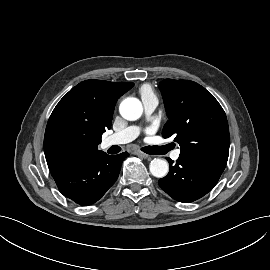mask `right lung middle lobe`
<instances>
[{
	"label": "right lung middle lobe",
	"instance_id": "obj_1",
	"mask_svg": "<svg viewBox=\"0 0 270 270\" xmlns=\"http://www.w3.org/2000/svg\"><path fill=\"white\" fill-rule=\"evenodd\" d=\"M65 143L68 146H73L78 142V138L75 135H68L65 137Z\"/></svg>",
	"mask_w": 270,
	"mask_h": 270
}]
</instances>
